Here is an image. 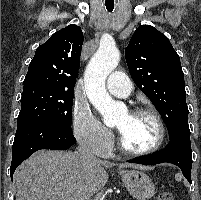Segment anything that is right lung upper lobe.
Instances as JSON below:
<instances>
[{
    "instance_id": "1",
    "label": "right lung upper lobe",
    "mask_w": 201,
    "mask_h": 200,
    "mask_svg": "<svg viewBox=\"0 0 201 200\" xmlns=\"http://www.w3.org/2000/svg\"><path fill=\"white\" fill-rule=\"evenodd\" d=\"M83 40L81 28L72 24L40 45L29 64L23 92L49 90L73 93Z\"/></svg>"
}]
</instances>
